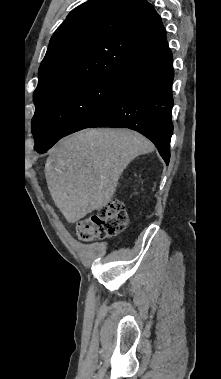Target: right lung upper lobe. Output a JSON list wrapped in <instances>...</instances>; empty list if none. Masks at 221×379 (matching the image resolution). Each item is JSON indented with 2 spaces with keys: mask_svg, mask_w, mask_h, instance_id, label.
<instances>
[{
  "mask_svg": "<svg viewBox=\"0 0 221 379\" xmlns=\"http://www.w3.org/2000/svg\"><path fill=\"white\" fill-rule=\"evenodd\" d=\"M167 48L161 18L146 0H89L51 37L34 99L96 75L121 74Z\"/></svg>",
  "mask_w": 221,
  "mask_h": 379,
  "instance_id": "1",
  "label": "right lung upper lobe"
}]
</instances>
